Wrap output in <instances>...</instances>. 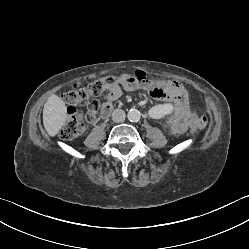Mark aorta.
Here are the masks:
<instances>
[{"label":"aorta","instance_id":"762f6f07","mask_svg":"<svg viewBox=\"0 0 249 249\" xmlns=\"http://www.w3.org/2000/svg\"><path fill=\"white\" fill-rule=\"evenodd\" d=\"M127 118L131 122H138L141 118V113L137 109H130L127 114Z\"/></svg>","mask_w":249,"mask_h":249}]
</instances>
